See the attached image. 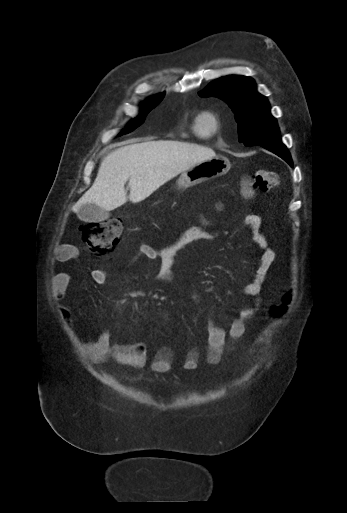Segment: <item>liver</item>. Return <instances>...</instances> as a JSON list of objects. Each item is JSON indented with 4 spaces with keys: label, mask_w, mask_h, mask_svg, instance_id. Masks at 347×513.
<instances>
[{
    "label": "liver",
    "mask_w": 347,
    "mask_h": 513,
    "mask_svg": "<svg viewBox=\"0 0 347 513\" xmlns=\"http://www.w3.org/2000/svg\"><path fill=\"white\" fill-rule=\"evenodd\" d=\"M214 156L211 148L171 140L123 146L103 159L92 187L72 210L78 213L83 205L95 204L109 212L128 198L140 202L181 172ZM128 180L127 197L124 186Z\"/></svg>",
    "instance_id": "1"
}]
</instances>
